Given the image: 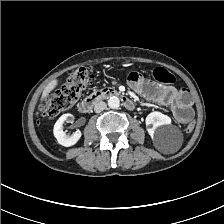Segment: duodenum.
I'll list each match as a JSON object with an SVG mask.
<instances>
[{
  "mask_svg": "<svg viewBox=\"0 0 224 224\" xmlns=\"http://www.w3.org/2000/svg\"><path fill=\"white\" fill-rule=\"evenodd\" d=\"M109 97H116L121 99V101L123 102L127 110L134 109V103L129 97H127L126 95H124L123 93H121L120 91L116 89L104 88L102 90L95 91L91 93L89 96H87L80 103L78 110L80 113H84V114L88 113L96 103H98L104 98H109Z\"/></svg>",
  "mask_w": 224,
  "mask_h": 224,
  "instance_id": "1",
  "label": "duodenum"
}]
</instances>
